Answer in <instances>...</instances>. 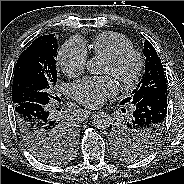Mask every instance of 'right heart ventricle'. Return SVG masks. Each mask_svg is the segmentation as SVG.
<instances>
[{
  "mask_svg": "<svg viewBox=\"0 0 184 184\" xmlns=\"http://www.w3.org/2000/svg\"><path fill=\"white\" fill-rule=\"evenodd\" d=\"M90 46L95 56L106 60L114 57L121 51L132 48V43L121 34L104 32L95 36Z\"/></svg>",
  "mask_w": 184,
  "mask_h": 184,
  "instance_id": "obj_1",
  "label": "right heart ventricle"
}]
</instances>
